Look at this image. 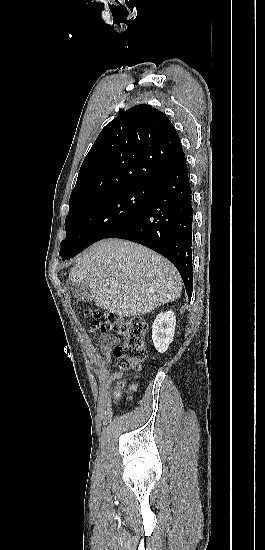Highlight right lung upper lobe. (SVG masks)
<instances>
[{
  "label": "right lung upper lobe",
  "instance_id": "cb5924a9",
  "mask_svg": "<svg viewBox=\"0 0 265 550\" xmlns=\"http://www.w3.org/2000/svg\"><path fill=\"white\" fill-rule=\"evenodd\" d=\"M183 156L179 135L168 117L150 105L134 106L100 132L81 165L69 204L154 186Z\"/></svg>",
  "mask_w": 265,
  "mask_h": 550
}]
</instances>
